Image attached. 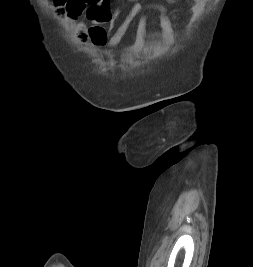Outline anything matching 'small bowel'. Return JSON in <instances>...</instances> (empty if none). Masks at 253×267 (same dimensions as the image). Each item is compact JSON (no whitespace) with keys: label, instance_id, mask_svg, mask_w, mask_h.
<instances>
[{"label":"small bowel","instance_id":"small-bowel-1","mask_svg":"<svg viewBox=\"0 0 253 267\" xmlns=\"http://www.w3.org/2000/svg\"><path fill=\"white\" fill-rule=\"evenodd\" d=\"M129 6L128 13L122 24L108 36L107 45L116 48L120 45L125 37L133 20L140 15L138 21L134 41L124 46L125 50L134 51L142 47L147 29V17L144 14V8L140 0H125ZM190 9L191 17L187 23V27H191L201 16L207 0H191ZM152 9L160 13V27L163 38L166 42H170L173 38V28L167 15L166 9L162 6H154ZM58 15L68 21L78 20V38L81 42H85L89 37V28L91 26L110 24L118 16V11L110 8V0H71V2L63 7H58ZM86 22H89L88 26Z\"/></svg>","mask_w":253,"mask_h":267}]
</instances>
